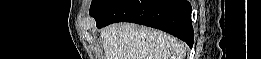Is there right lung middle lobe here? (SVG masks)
Returning <instances> with one entry per match:
<instances>
[{
    "label": "right lung middle lobe",
    "mask_w": 261,
    "mask_h": 59,
    "mask_svg": "<svg viewBox=\"0 0 261 59\" xmlns=\"http://www.w3.org/2000/svg\"><path fill=\"white\" fill-rule=\"evenodd\" d=\"M117 0H92L90 7V15L93 17L99 16L110 8Z\"/></svg>",
    "instance_id": "right-lung-middle-lobe-1"
}]
</instances>
